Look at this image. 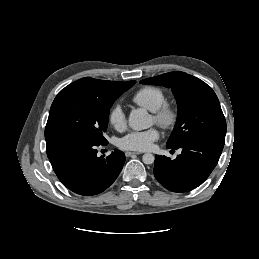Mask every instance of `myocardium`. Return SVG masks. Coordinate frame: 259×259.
Listing matches in <instances>:
<instances>
[{"instance_id":"1","label":"myocardium","mask_w":259,"mask_h":259,"mask_svg":"<svg viewBox=\"0 0 259 259\" xmlns=\"http://www.w3.org/2000/svg\"><path fill=\"white\" fill-rule=\"evenodd\" d=\"M153 119L160 127L171 129L177 123L178 112L172 104L164 102L157 110L153 111Z\"/></svg>"}]
</instances>
